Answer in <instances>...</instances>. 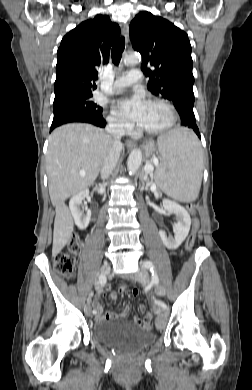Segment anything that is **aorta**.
<instances>
[{
  "instance_id": "1",
  "label": "aorta",
  "mask_w": 252,
  "mask_h": 390,
  "mask_svg": "<svg viewBox=\"0 0 252 390\" xmlns=\"http://www.w3.org/2000/svg\"><path fill=\"white\" fill-rule=\"evenodd\" d=\"M140 61V57L137 54H127L124 57V62L127 64H136ZM142 162V152L139 149H134L127 160V169L129 174H135Z\"/></svg>"
}]
</instances>
